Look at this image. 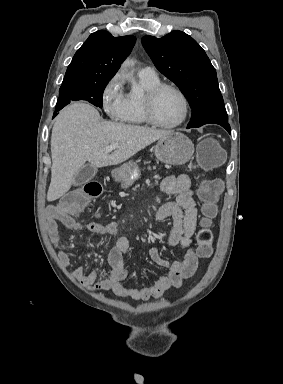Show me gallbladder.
Listing matches in <instances>:
<instances>
[{
    "mask_svg": "<svg viewBox=\"0 0 283 384\" xmlns=\"http://www.w3.org/2000/svg\"><path fill=\"white\" fill-rule=\"evenodd\" d=\"M96 175L97 172L93 165L83 166L74 176V186H82V184H86L88 180H91V178Z\"/></svg>",
    "mask_w": 283,
    "mask_h": 384,
    "instance_id": "gallbladder-1",
    "label": "gallbladder"
}]
</instances>
